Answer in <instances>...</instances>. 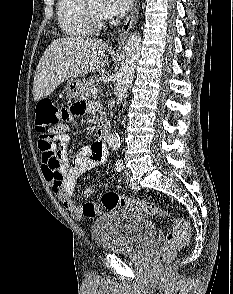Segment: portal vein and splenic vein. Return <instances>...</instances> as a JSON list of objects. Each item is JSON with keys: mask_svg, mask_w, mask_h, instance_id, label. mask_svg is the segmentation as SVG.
Returning <instances> with one entry per match:
<instances>
[{"mask_svg": "<svg viewBox=\"0 0 233 294\" xmlns=\"http://www.w3.org/2000/svg\"><path fill=\"white\" fill-rule=\"evenodd\" d=\"M97 93H98V89H97V88H92V89H91V94H92L93 96L97 95Z\"/></svg>", "mask_w": 233, "mask_h": 294, "instance_id": "1", "label": "portal vein and splenic vein"}]
</instances>
